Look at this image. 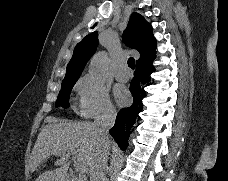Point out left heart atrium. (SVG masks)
Masks as SVG:
<instances>
[{
	"instance_id": "39dd6f15",
	"label": "left heart atrium",
	"mask_w": 228,
	"mask_h": 181,
	"mask_svg": "<svg viewBox=\"0 0 228 181\" xmlns=\"http://www.w3.org/2000/svg\"><path fill=\"white\" fill-rule=\"evenodd\" d=\"M127 93L125 91H123L121 88L117 87L116 88V96L118 98L119 101L122 100V98L126 95Z\"/></svg>"
}]
</instances>
